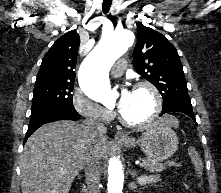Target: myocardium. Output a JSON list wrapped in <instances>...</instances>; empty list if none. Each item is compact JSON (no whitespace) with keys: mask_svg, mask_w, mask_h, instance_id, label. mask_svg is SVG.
<instances>
[{"mask_svg":"<svg viewBox=\"0 0 221 193\" xmlns=\"http://www.w3.org/2000/svg\"><path fill=\"white\" fill-rule=\"evenodd\" d=\"M137 89H146L150 91L154 99V108H153L152 113L146 119L141 120V121H130L127 118H125L123 114L120 112L119 113L120 122L124 126L129 127V128H142V127L150 125L158 118L162 110V103H163L162 95L154 84L148 81H140L134 85V90H137Z\"/></svg>","mask_w":221,"mask_h":193,"instance_id":"obj_1","label":"myocardium"}]
</instances>
